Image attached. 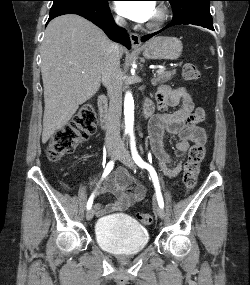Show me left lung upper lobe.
<instances>
[{
  "label": "left lung upper lobe",
  "mask_w": 250,
  "mask_h": 285,
  "mask_svg": "<svg viewBox=\"0 0 250 285\" xmlns=\"http://www.w3.org/2000/svg\"><path fill=\"white\" fill-rule=\"evenodd\" d=\"M169 1L174 12L172 21L180 22L191 18L212 19L210 1L212 0H165Z\"/></svg>",
  "instance_id": "obj_1"
}]
</instances>
